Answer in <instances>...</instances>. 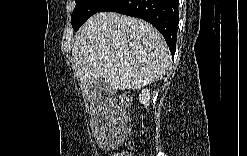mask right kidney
<instances>
[{
  "instance_id": "right-kidney-1",
  "label": "right kidney",
  "mask_w": 247,
  "mask_h": 156,
  "mask_svg": "<svg viewBox=\"0 0 247 156\" xmlns=\"http://www.w3.org/2000/svg\"><path fill=\"white\" fill-rule=\"evenodd\" d=\"M139 102L147 108L149 106L150 102V90L149 89H143L141 93L139 94Z\"/></svg>"
}]
</instances>
